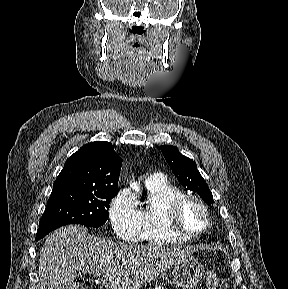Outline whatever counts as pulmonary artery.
Masks as SVG:
<instances>
[{
  "mask_svg": "<svg viewBox=\"0 0 288 289\" xmlns=\"http://www.w3.org/2000/svg\"><path fill=\"white\" fill-rule=\"evenodd\" d=\"M165 180V177L161 173H153L150 176L147 177L146 179V184H156V183H161Z\"/></svg>",
  "mask_w": 288,
  "mask_h": 289,
  "instance_id": "1",
  "label": "pulmonary artery"
}]
</instances>
